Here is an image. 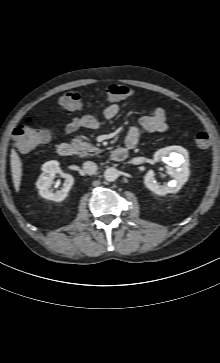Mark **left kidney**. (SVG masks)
<instances>
[{"label":"left kidney","mask_w":220,"mask_h":363,"mask_svg":"<svg viewBox=\"0 0 220 363\" xmlns=\"http://www.w3.org/2000/svg\"><path fill=\"white\" fill-rule=\"evenodd\" d=\"M153 158L155 162L163 161L167 164V170L174 180L169 181L166 185H159L154 178L153 170H149L144 176L145 186L158 195L178 192L190 174L187 151L179 146L166 147L156 151Z\"/></svg>","instance_id":"left-kidney-1"}]
</instances>
